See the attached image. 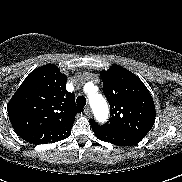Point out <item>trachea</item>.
<instances>
[{
    "instance_id": "3493384b",
    "label": "trachea",
    "mask_w": 182,
    "mask_h": 182,
    "mask_svg": "<svg viewBox=\"0 0 182 182\" xmlns=\"http://www.w3.org/2000/svg\"><path fill=\"white\" fill-rule=\"evenodd\" d=\"M76 103L79 107H85L86 105V98L84 96H79L76 99Z\"/></svg>"
}]
</instances>
